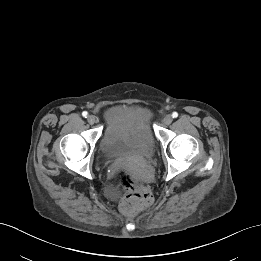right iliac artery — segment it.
<instances>
[{
    "instance_id": "obj_1",
    "label": "right iliac artery",
    "mask_w": 261,
    "mask_h": 261,
    "mask_svg": "<svg viewBox=\"0 0 261 261\" xmlns=\"http://www.w3.org/2000/svg\"><path fill=\"white\" fill-rule=\"evenodd\" d=\"M82 116L86 118V117L88 116V112H87V111H84V112L82 113Z\"/></svg>"
}]
</instances>
